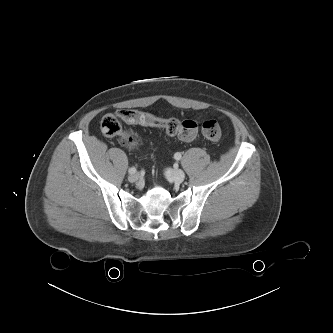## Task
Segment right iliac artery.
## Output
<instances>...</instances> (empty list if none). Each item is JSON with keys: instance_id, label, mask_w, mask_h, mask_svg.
Wrapping results in <instances>:
<instances>
[{"instance_id": "right-iliac-artery-1", "label": "right iliac artery", "mask_w": 333, "mask_h": 333, "mask_svg": "<svg viewBox=\"0 0 333 333\" xmlns=\"http://www.w3.org/2000/svg\"><path fill=\"white\" fill-rule=\"evenodd\" d=\"M128 172H129L130 174H133V173L136 172V168H135V167H131V168L128 169Z\"/></svg>"}]
</instances>
